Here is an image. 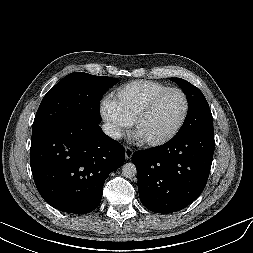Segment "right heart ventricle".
<instances>
[{"instance_id": "e07e8e85", "label": "right heart ventricle", "mask_w": 253, "mask_h": 253, "mask_svg": "<svg viewBox=\"0 0 253 253\" xmlns=\"http://www.w3.org/2000/svg\"><path fill=\"white\" fill-rule=\"evenodd\" d=\"M169 88L168 85L154 80H136L118 88L114 94L121 115L128 125L136 120L146 103L158 92Z\"/></svg>"}]
</instances>
